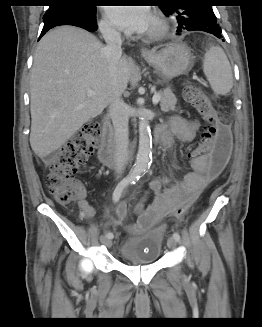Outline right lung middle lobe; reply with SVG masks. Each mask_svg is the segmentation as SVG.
Segmentation results:
<instances>
[{"instance_id":"dd1d6c3e","label":"right lung middle lobe","mask_w":262,"mask_h":327,"mask_svg":"<svg viewBox=\"0 0 262 327\" xmlns=\"http://www.w3.org/2000/svg\"><path fill=\"white\" fill-rule=\"evenodd\" d=\"M60 2L64 3L62 5L53 6V7H68V8H74L79 11H83L86 13H95L96 12V6L92 4L87 5H76L73 4L74 0H59Z\"/></svg>"}]
</instances>
